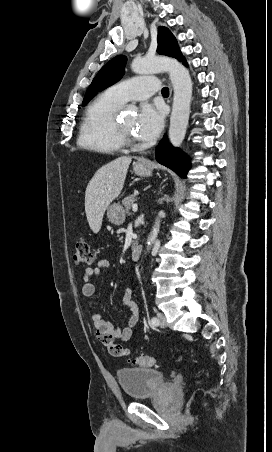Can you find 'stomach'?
<instances>
[{
    "instance_id": "0dacf381",
    "label": "stomach",
    "mask_w": 272,
    "mask_h": 452,
    "mask_svg": "<svg viewBox=\"0 0 272 452\" xmlns=\"http://www.w3.org/2000/svg\"><path fill=\"white\" fill-rule=\"evenodd\" d=\"M133 171L138 176H151L152 168L145 161H136L133 163ZM109 221L115 225H121L125 221V210L119 203L110 205L107 209Z\"/></svg>"
}]
</instances>
